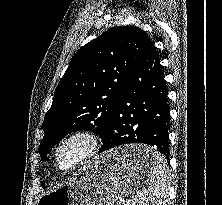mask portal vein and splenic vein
I'll use <instances>...</instances> for the list:
<instances>
[{
    "instance_id": "obj_1",
    "label": "portal vein and splenic vein",
    "mask_w": 222,
    "mask_h": 205,
    "mask_svg": "<svg viewBox=\"0 0 222 205\" xmlns=\"http://www.w3.org/2000/svg\"><path fill=\"white\" fill-rule=\"evenodd\" d=\"M143 193H145V191H144V190H138V191H136V192H135V196H134V197H132V198H137V197H140V196H142V195H143Z\"/></svg>"
}]
</instances>
